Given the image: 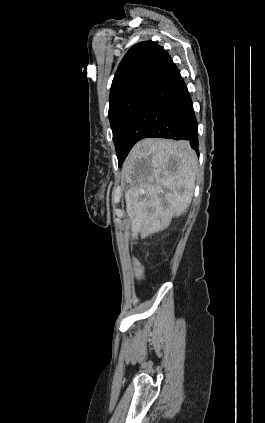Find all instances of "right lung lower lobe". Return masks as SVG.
<instances>
[{
  "label": "right lung lower lobe",
  "instance_id": "right-lung-lower-lobe-1",
  "mask_svg": "<svg viewBox=\"0 0 265 423\" xmlns=\"http://www.w3.org/2000/svg\"><path fill=\"white\" fill-rule=\"evenodd\" d=\"M150 137L187 140L199 154L193 104L174 63L148 92L123 130L120 142L126 156L136 142Z\"/></svg>",
  "mask_w": 265,
  "mask_h": 423
}]
</instances>
